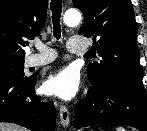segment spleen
<instances>
[{
	"instance_id": "3e777b00",
	"label": "spleen",
	"mask_w": 147,
	"mask_h": 131,
	"mask_svg": "<svg viewBox=\"0 0 147 131\" xmlns=\"http://www.w3.org/2000/svg\"><path fill=\"white\" fill-rule=\"evenodd\" d=\"M117 131H125V129L123 127H118L116 128Z\"/></svg>"
}]
</instances>
